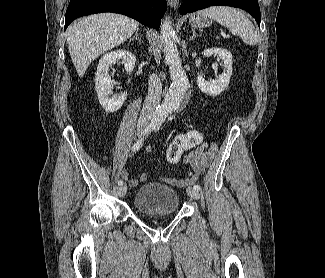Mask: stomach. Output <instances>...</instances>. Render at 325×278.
I'll use <instances>...</instances> for the list:
<instances>
[{
    "label": "stomach",
    "mask_w": 325,
    "mask_h": 278,
    "mask_svg": "<svg viewBox=\"0 0 325 278\" xmlns=\"http://www.w3.org/2000/svg\"><path fill=\"white\" fill-rule=\"evenodd\" d=\"M189 23L193 28H203L209 25L210 22L204 16L193 14L189 19Z\"/></svg>",
    "instance_id": "1"
}]
</instances>
